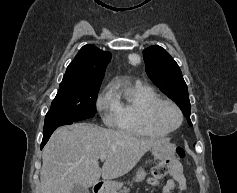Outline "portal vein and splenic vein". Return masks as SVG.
Here are the masks:
<instances>
[{"label": "portal vein and splenic vein", "instance_id": "obj_1", "mask_svg": "<svg viewBox=\"0 0 237 193\" xmlns=\"http://www.w3.org/2000/svg\"><path fill=\"white\" fill-rule=\"evenodd\" d=\"M106 158V155L105 154H102L101 156H100V159L101 160H104Z\"/></svg>", "mask_w": 237, "mask_h": 193}]
</instances>
